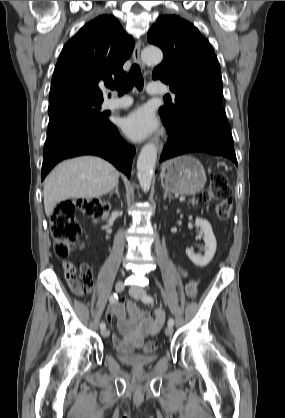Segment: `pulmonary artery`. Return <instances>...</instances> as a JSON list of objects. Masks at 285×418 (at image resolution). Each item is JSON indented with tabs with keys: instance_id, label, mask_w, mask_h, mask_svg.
Segmentation results:
<instances>
[{
	"instance_id": "pulmonary-artery-1",
	"label": "pulmonary artery",
	"mask_w": 285,
	"mask_h": 418,
	"mask_svg": "<svg viewBox=\"0 0 285 418\" xmlns=\"http://www.w3.org/2000/svg\"><path fill=\"white\" fill-rule=\"evenodd\" d=\"M148 93L151 95L154 94H166L169 93V89L163 85H152L148 89ZM132 104V99L125 97V98H106L103 102V108L105 110H119L122 108H126L127 106Z\"/></svg>"
}]
</instances>
